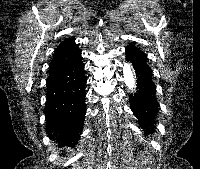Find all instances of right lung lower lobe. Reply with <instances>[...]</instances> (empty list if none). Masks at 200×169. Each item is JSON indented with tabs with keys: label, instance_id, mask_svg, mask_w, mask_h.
Instances as JSON below:
<instances>
[{
	"label": "right lung lower lobe",
	"instance_id": "1",
	"mask_svg": "<svg viewBox=\"0 0 200 169\" xmlns=\"http://www.w3.org/2000/svg\"><path fill=\"white\" fill-rule=\"evenodd\" d=\"M45 108L46 133L60 141V147L74 145L83 128L87 79L81 52L72 60L50 66Z\"/></svg>",
	"mask_w": 200,
	"mask_h": 169
}]
</instances>
